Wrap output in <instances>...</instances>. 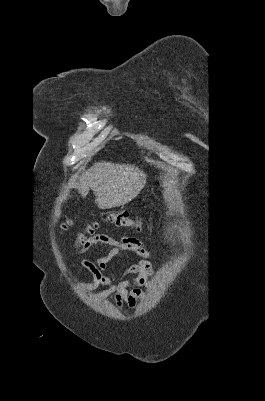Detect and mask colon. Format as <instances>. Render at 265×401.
I'll list each match as a JSON object with an SVG mask.
<instances>
[{"instance_id": "obj_1", "label": "colon", "mask_w": 265, "mask_h": 401, "mask_svg": "<svg viewBox=\"0 0 265 401\" xmlns=\"http://www.w3.org/2000/svg\"><path fill=\"white\" fill-rule=\"evenodd\" d=\"M105 222L115 224L120 227H131L135 228L138 231L142 230V221L140 219H132L128 212L126 211H118L112 212L108 214L104 220ZM70 225V221L63 222L61 224V230H66ZM99 227L98 222H91L86 225L84 232L79 234L76 240V246L81 250L87 243V235H90L95 232V230Z\"/></svg>"}]
</instances>
